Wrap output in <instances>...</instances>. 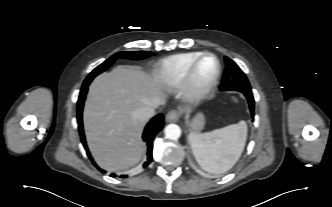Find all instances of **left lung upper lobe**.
<instances>
[{
    "label": "left lung upper lobe",
    "instance_id": "obj_1",
    "mask_svg": "<svg viewBox=\"0 0 332 207\" xmlns=\"http://www.w3.org/2000/svg\"><path fill=\"white\" fill-rule=\"evenodd\" d=\"M226 68L224 71L221 90L239 92L251 91V86L245 73L228 57H225Z\"/></svg>",
    "mask_w": 332,
    "mask_h": 207
}]
</instances>
